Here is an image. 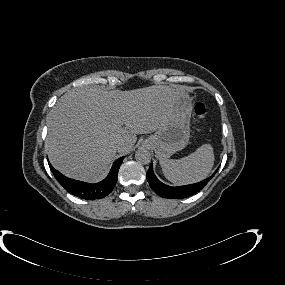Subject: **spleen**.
I'll return each instance as SVG.
<instances>
[{
	"label": "spleen",
	"instance_id": "spleen-1",
	"mask_svg": "<svg viewBox=\"0 0 285 285\" xmlns=\"http://www.w3.org/2000/svg\"><path fill=\"white\" fill-rule=\"evenodd\" d=\"M215 161L210 144L200 146L195 152L178 160L160 159L164 176L174 184L185 185L205 179Z\"/></svg>",
	"mask_w": 285,
	"mask_h": 285
}]
</instances>
